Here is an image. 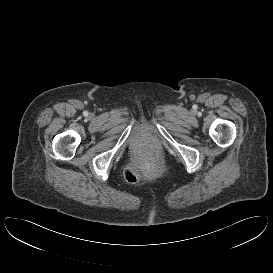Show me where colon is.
<instances>
[{
	"label": "colon",
	"instance_id": "5ec220e1",
	"mask_svg": "<svg viewBox=\"0 0 273 273\" xmlns=\"http://www.w3.org/2000/svg\"><path fill=\"white\" fill-rule=\"evenodd\" d=\"M148 168H153L155 166V162L154 160L152 159H149L147 162H146ZM125 178L127 181L131 182V183H134L138 180V177L137 175L131 170V169H127L125 171Z\"/></svg>",
	"mask_w": 273,
	"mask_h": 273
}]
</instances>
